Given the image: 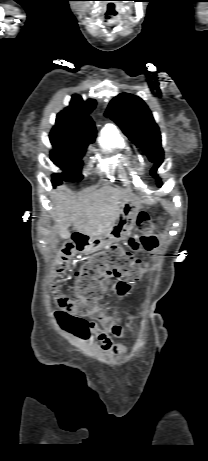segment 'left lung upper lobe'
Returning <instances> with one entry per match:
<instances>
[{
  "label": "left lung upper lobe",
  "instance_id": "5c2ea615",
  "mask_svg": "<svg viewBox=\"0 0 208 461\" xmlns=\"http://www.w3.org/2000/svg\"><path fill=\"white\" fill-rule=\"evenodd\" d=\"M105 115L117 123L124 134L144 150L149 160L154 163L151 174L158 178L156 170L163 162L164 152L159 127L145 102L138 96L121 93L111 100ZM157 181L160 187V179Z\"/></svg>",
  "mask_w": 208,
  "mask_h": 461
}]
</instances>
